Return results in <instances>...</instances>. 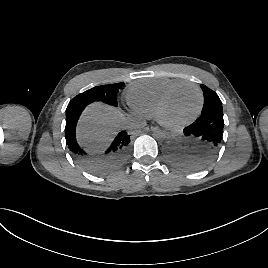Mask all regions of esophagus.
<instances>
[{
  "label": "esophagus",
  "mask_w": 268,
  "mask_h": 268,
  "mask_svg": "<svg viewBox=\"0 0 268 268\" xmlns=\"http://www.w3.org/2000/svg\"><path fill=\"white\" fill-rule=\"evenodd\" d=\"M144 130L147 131V132H158L159 128L154 127V126H147V127L144 128Z\"/></svg>",
  "instance_id": "34e87169"
}]
</instances>
